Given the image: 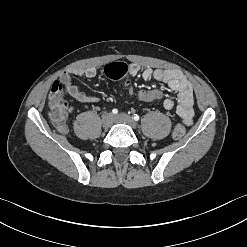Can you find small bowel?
Masks as SVG:
<instances>
[{"mask_svg": "<svg viewBox=\"0 0 247 247\" xmlns=\"http://www.w3.org/2000/svg\"><path fill=\"white\" fill-rule=\"evenodd\" d=\"M128 74L130 76L140 75L145 81L154 79L158 82L167 83L172 90L178 93V97L177 100L166 98L163 101L164 108L167 110L176 108V111L182 118L183 122L187 125L191 124L194 114L193 89L191 83L181 71L176 69H141L138 64L132 63L128 66ZM96 75L97 70L95 68H73L64 72L60 76L59 81L55 82L53 86L59 85L64 93L73 97L77 101L96 102L98 100L97 97L86 95L80 91L72 81L73 77L94 78ZM69 110L73 111V108L70 107Z\"/></svg>", "mask_w": 247, "mask_h": 247, "instance_id": "small-bowel-1", "label": "small bowel"}]
</instances>
